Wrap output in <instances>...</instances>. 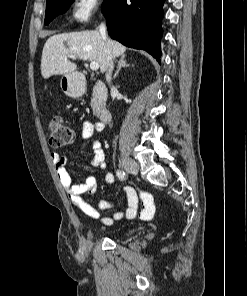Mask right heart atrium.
<instances>
[{
	"label": "right heart atrium",
	"mask_w": 247,
	"mask_h": 296,
	"mask_svg": "<svg viewBox=\"0 0 247 296\" xmlns=\"http://www.w3.org/2000/svg\"><path fill=\"white\" fill-rule=\"evenodd\" d=\"M100 0H73L70 11L72 20L87 23L98 11Z\"/></svg>",
	"instance_id": "d8ad5b80"
}]
</instances>
